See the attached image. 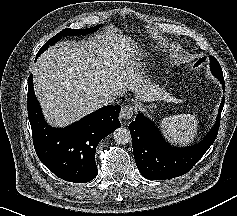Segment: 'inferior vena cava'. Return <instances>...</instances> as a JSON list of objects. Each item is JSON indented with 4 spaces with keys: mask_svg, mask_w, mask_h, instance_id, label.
<instances>
[{
    "mask_svg": "<svg viewBox=\"0 0 237 216\" xmlns=\"http://www.w3.org/2000/svg\"><path fill=\"white\" fill-rule=\"evenodd\" d=\"M120 94V91L117 88H109L105 92L101 93L100 103L101 105H116L120 102L117 99V96Z\"/></svg>",
    "mask_w": 237,
    "mask_h": 216,
    "instance_id": "inferior-vena-cava-1",
    "label": "inferior vena cava"
}]
</instances>
